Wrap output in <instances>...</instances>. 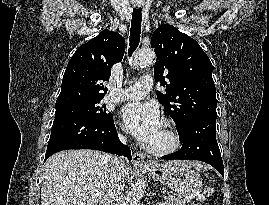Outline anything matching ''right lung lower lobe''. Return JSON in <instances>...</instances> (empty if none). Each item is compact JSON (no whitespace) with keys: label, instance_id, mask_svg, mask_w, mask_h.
Wrapping results in <instances>:
<instances>
[{"label":"right lung lower lobe","instance_id":"1","mask_svg":"<svg viewBox=\"0 0 269 205\" xmlns=\"http://www.w3.org/2000/svg\"><path fill=\"white\" fill-rule=\"evenodd\" d=\"M67 149L100 150L123 155L131 160V150L119 141L113 119L98 121L81 116L55 118L45 160L52 154Z\"/></svg>","mask_w":269,"mask_h":205}]
</instances>
